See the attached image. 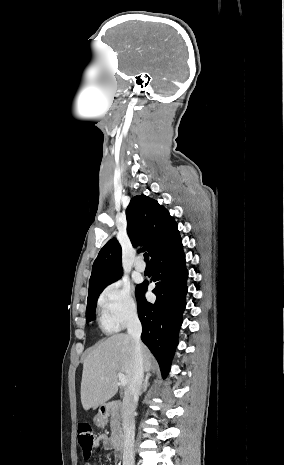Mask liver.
<instances>
[{"mask_svg":"<svg viewBox=\"0 0 284 465\" xmlns=\"http://www.w3.org/2000/svg\"><path fill=\"white\" fill-rule=\"evenodd\" d=\"M133 347L134 341L129 335H112L85 357L80 391L85 411L106 405L116 395L117 373L126 375L129 387L133 377ZM142 353L144 371L148 373L152 369V355L145 345Z\"/></svg>","mask_w":284,"mask_h":465,"instance_id":"liver-1","label":"liver"}]
</instances>
